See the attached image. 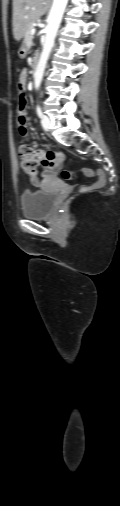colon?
<instances>
[{
    "label": "colon",
    "mask_w": 120,
    "mask_h": 506,
    "mask_svg": "<svg viewBox=\"0 0 120 506\" xmlns=\"http://www.w3.org/2000/svg\"><path fill=\"white\" fill-rule=\"evenodd\" d=\"M17 77L19 79H24L26 77V72L24 70H19L17 72ZM19 89V97H18V125L19 131L21 134L26 133V97L24 95L23 86L21 84L18 85ZM19 156L21 159V167L22 169L31 177L34 178L37 174V166L39 165L40 152L36 150L29 143H23L19 147ZM50 159H53L52 156H49ZM62 177L64 179H71L73 173L68 170L62 171ZM79 174L84 177H91L93 175V171L88 168H83L79 171ZM98 177L97 182L94 184L95 189H100L104 187L106 183L105 172L102 169H99L96 172Z\"/></svg>",
    "instance_id": "obj_1"
}]
</instances>
